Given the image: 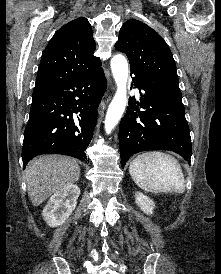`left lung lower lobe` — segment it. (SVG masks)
I'll return each instance as SVG.
<instances>
[{
    "instance_id": "obj_1",
    "label": "left lung lower lobe",
    "mask_w": 221,
    "mask_h": 274,
    "mask_svg": "<svg viewBox=\"0 0 221 274\" xmlns=\"http://www.w3.org/2000/svg\"><path fill=\"white\" fill-rule=\"evenodd\" d=\"M130 70L135 87L142 92L139 103L134 97L129 99L120 122L122 167L133 154L157 149L176 152L190 163L192 144L181 92L141 71Z\"/></svg>"
}]
</instances>
